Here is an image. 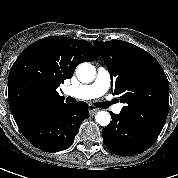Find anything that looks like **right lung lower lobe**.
Returning <instances> with one entry per match:
<instances>
[{
  "label": "right lung lower lobe",
  "mask_w": 178,
  "mask_h": 178,
  "mask_svg": "<svg viewBox=\"0 0 178 178\" xmlns=\"http://www.w3.org/2000/svg\"><path fill=\"white\" fill-rule=\"evenodd\" d=\"M88 117L87 103H62L33 111L16 121V124L33 146L43 151L56 152L73 143L82 121Z\"/></svg>",
  "instance_id": "obj_1"
}]
</instances>
